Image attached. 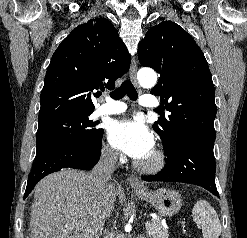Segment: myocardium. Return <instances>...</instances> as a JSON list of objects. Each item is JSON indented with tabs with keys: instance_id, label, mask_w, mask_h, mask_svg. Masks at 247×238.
I'll list each match as a JSON object with an SVG mask.
<instances>
[{
	"instance_id": "f54148a6",
	"label": "myocardium",
	"mask_w": 247,
	"mask_h": 238,
	"mask_svg": "<svg viewBox=\"0 0 247 238\" xmlns=\"http://www.w3.org/2000/svg\"><path fill=\"white\" fill-rule=\"evenodd\" d=\"M137 168L148 174H154L163 169L165 166V157L162 151L154 150L151 152L148 160L139 161L136 163Z\"/></svg>"
}]
</instances>
